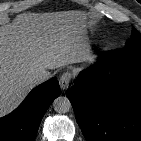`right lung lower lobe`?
<instances>
[{"mask_svg":"<svg viewBox=\"0 0 141 141\" xmlns=\"http://www.w3.org/2000/svg\"><path fill=\"white\" fill-rule=\"evenodd\" d=\"M59 95L56 77L34 88L16 110L0 118V141H34L45 112Z\"/></svg>","mask_w":141,"mask_h":141,"instance_id":"1","label":"right lung lower lobe"}]
</instances>
